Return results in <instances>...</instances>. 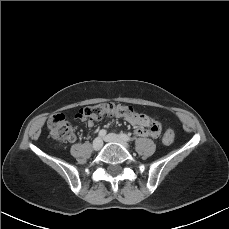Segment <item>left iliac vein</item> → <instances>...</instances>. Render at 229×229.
I'll list each match as a JSON object with an SVG mask.
<instances>
[{"mask_svg":"<svg viewBox=\"0 0 229 229\" xmlns=\"http://www.w3.org/2000/svg\"><path fill=\"white\" fill-rule=\"evenodd\" d=\"M105 142H116L124 146L125 148H128L129 145L126 141H124L119 135L110 133L104 137Z\"/></svg>","mask_w":229,"mask_h":229,"instance_id":"left-iliac-vein-1","label":"left iliac vein"}]
</instances>
